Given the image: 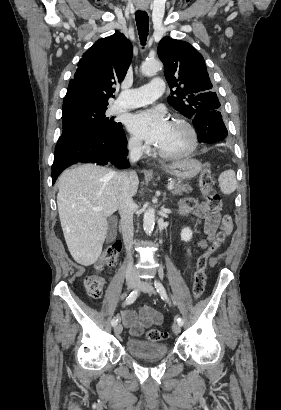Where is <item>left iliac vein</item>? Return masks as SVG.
<instances>
[{
  "instance_id": "1",
  "label": "left iliac vein",
  "mask_w": 281,
  "mask_h": 410,
  "mask_svg": "<svg viewBox=\"0 0 281 410\" xmlns=\"http://www.w3.org/2000/svg\"><path fill=\"white\" fill-rule=\"evenodd\" d=\"M137 289L148 294H155L153 285L147 281L138 282ZM172 329L175 334H179L181 331V325L178 322H175L172 326Z\"/></svg>"
}]
</instances>
